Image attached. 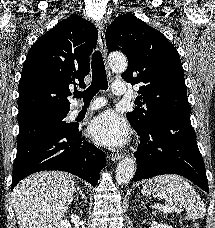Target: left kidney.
Wrapping results in <instances>:
<instances>
[{"mask_svg":"<svg viewBox=\"0 0 215 228\" xmlns=\"http://www.w3.org/2000/svg\"><path fill=\"white\" fill-rule=\"evenodd\" d=\"M159 228H172L169 224H158Z\"/></svg>","mask_w":215,"mask_h":228,"instance_id":"left-kidney-1","label":"left kidney"}]
</instances>
